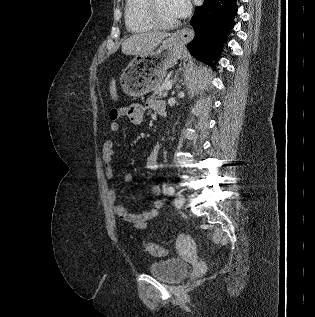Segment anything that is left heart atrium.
<instances>
[{
  "instance_id": "1",
  "label": "left heart atrium",
  "mask_w": 315,
  "mask_h": 317,
  "mask_svg": "<svg viewBox=\"0 0 315 317\" xmlns=\"http://www.w3.org/2000/svg\"><path fill=\"white\" fill-rule=\"evenodd\" d=\"M169 4L177 18L185 16L190 10L189 0H169Z\"/></svg>"
}]
</instances>
